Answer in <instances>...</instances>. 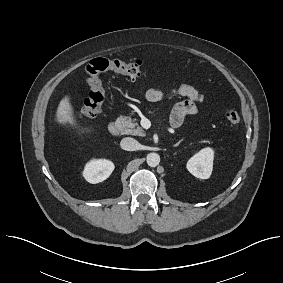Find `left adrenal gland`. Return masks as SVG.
<instances>
[{
	"label": "left adrenal gland",
	"mask_w": 283,
	"mask_h": 283,
	"mask_svg": "<svg viewBox=\"0 0 283 283\" xmlns=\"http://www.w3.org/2000/svg\"><path fill=\"white\" fill-rule=\"evenodd\" d=\"M180 143H181V140L177 144H175L174 147L179 146Z\"/></svg>",
	"instance_id": "a2214340"
}]
</instances>
